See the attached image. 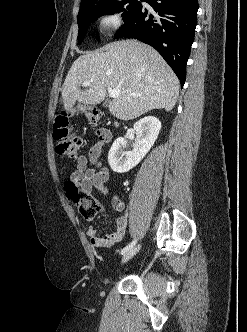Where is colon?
Returning a JSON list of instances; mask_svg holds the SVG:
<instances>
[{
	"instance_id": "1",
	"label": "colon",
	"mask_w": 247,
	"mask_h": 332,
	"mask_svg": "<svg viewBox=\"0 0 247 332\" xmlns=\"http://www.w3.org/2000/svg\"><path fill=\"white\" fill-rule=\"evenodd\" d=\"M84 113L90 124L97 125L102 118V112L95 106L85 105L78 109ZM69 114L62 112L54 120L53 137L57 142L56 151L59 155L67 158H75L82 145L81 138L70 130ZM67 190L72 201L77 205L80 214L86 219L94 218L101 210L99 202L90 195L78 192L77 186L69 181Z\"/></svg>"
}]
</instances>
